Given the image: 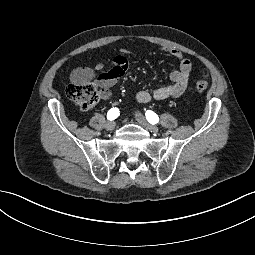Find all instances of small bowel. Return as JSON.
I'll use <instances>...</instances> for the list:
<instances>
[{
  "mask_svg": "<svg viewBox=\"0 0 255 255\" xmlns=\"http://www.w3.org/2000/svg\"><path fill=\"white\" fill-rule=\"evenodd\" d=\"M163 51L178 60V69L170 73L171 83L154 90H139L135 93V99L139 103H150L169 98L179 97L187 88L192 63L175 48H164ZM125 49H121L112 60V67L105 70V63L98 62L93 67L82 66L75 68L70 74V81L76 84L93 82L100 88L101 96L107 99L111 95L110 88L122 78L128 70V60L125 56Z\"/></svg>",
  "mask_w": 255,
  "mask_h": 255,
  "instance_id": "c3829d8e",
  "label": "small bowel"
}]
</instances>
